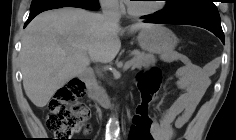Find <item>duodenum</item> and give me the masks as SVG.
Instances as JSON below:
<instances>
[{"label": "duodenum", "instance_id": "1", "mask_svg": "<svg viewBox=\"0 0 236 140\" xmlns=\"http://www.w3.org/2000/svg\"><path fill=\"white\" fill-rule=\"evenodd\" d=\"M81 78L89 85L88 98L104 107H109L111 104L110 99L95 85L93 72L88 69L84 70L81 72Z\"/></svg>", "mask_w": 236, "mask_h": 140}]
</instances>
